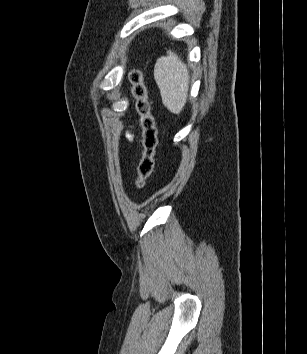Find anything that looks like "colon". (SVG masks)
<instances>
[{"instance_id": "5ec220e1", "label": "colon", "mask_w": 307, "mask_h": 354, "mask_svg": "<svg viewBox=\"0 0 307 354\" xmlns=\"http://www.w3.org/2000/svg\"><path fill=\"white\" fill-rule=\"evenodd\" d=\"M129 81L142 127L143 154L138 164L136 186L138 189H143L154 170V157L158 146V130L155 117L152 114V102L148 97L143 72L139 68H132L129 73Z\"/></svg>"}]
</instances>
